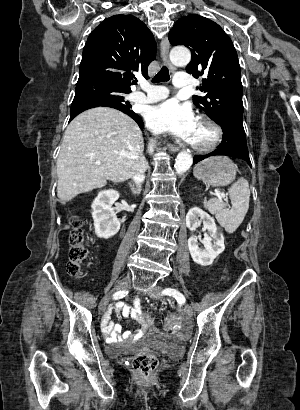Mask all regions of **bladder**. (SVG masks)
<instances>
[{"mask_svg":"<svg viewBox=\"0 0 300 410\" xmlns=\"http://www.w3.org/2000/svg\"><path fill=\"white\" fill-rule=\"evenodd\" d=\"M159 348L163 352L170 353L171 355L176 356L182 353L183 344L179 342L160 343ZM126 349L127 346L121 343H109L106 346L107 352L114 356H118Z\"/></svg>","mask_w":300,"mask_h":410,"instance_id":"1","label":"bladder"}]
</instances>
